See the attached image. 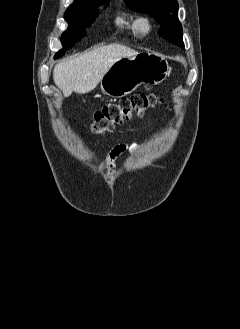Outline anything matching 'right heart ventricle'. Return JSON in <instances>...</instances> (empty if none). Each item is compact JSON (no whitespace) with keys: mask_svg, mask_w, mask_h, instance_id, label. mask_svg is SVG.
Listing matches in <instances>:
<instances>
[{"mask_svg":"<svg viewBox=\"0 0 240 329\" xmlns=\"http://www.w3.org/2000/svg\"><path fill=\"white\" fill-rule=\"evenodd\" d=\"M136 19L129 16L120 15L116 19V24L123 30L128 32H136Z\"/></svg>","mask_w":240,"mask_h":329,"instance_id":"obj_1","label":"right heart ventricle"}]
</instances>
